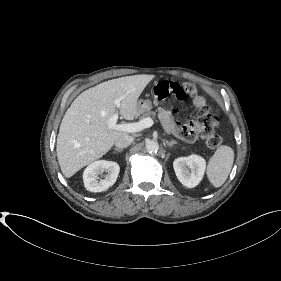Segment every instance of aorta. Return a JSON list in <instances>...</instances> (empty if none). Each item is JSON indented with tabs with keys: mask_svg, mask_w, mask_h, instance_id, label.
Returning a JSON list of instances; mask_svg holds the SVG:
<instances>
[{
	"mask_svg": "<svg viewBox=\"0 0 281 281\" xmlns=\"http://www.w3.org/2000/svg\"><path fill=\"white\" fill-rule=\"evenodd\" d=\"M146 150L149 153H156L159 149V144L155 140H148L145 144Z\"/></svg>",
	"mask_w": 281,
	"mask_h": 281,
	"instance_id": "aorta-1",
	"label": "aorta"
}]
</instances>
